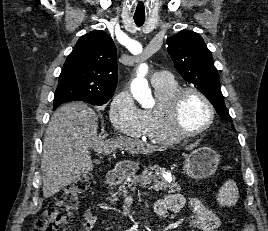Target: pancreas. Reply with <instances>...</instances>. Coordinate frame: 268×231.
Wrapping results in <instances>:
<instances>
[{"instance_id":"pancreas-1","label":"pancreas","mask_w":268,"mask_h":231,"mask_svg":"<svg viewBox=\"0 0 268 231\" xmlns=\"http://www.w3.org/2000/svg\"><path fill=\"white\" fill-rule=\"evenodd\" d=\"M163 171L165 169L159 166H153L146 168L142 171L140 175L132 176L129 181L123 182L119 185L116 194H112L110 203H114L117 201V194L126 196L128 190H134L136 186H147L152 185L156 190L168 191L170 193H174L176 191H180L181 188L177 182H175V178L172 177L171 180L164 178ZM157 172L158 174H154Z\"/></svg>"}]
</instances>
